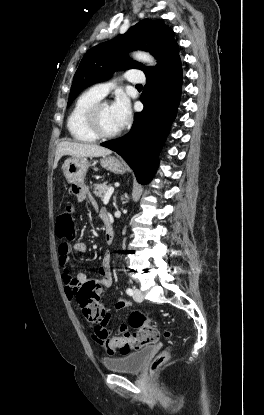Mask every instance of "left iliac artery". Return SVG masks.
<instances>
[{"mask_svg":"<svg viewBox=\"0 0 264 415\" xmlns=\"http://www.w3.org/2000/svg\"><path fill=\"white\" fill-rule=\"evenodd\" d=\"M126 293H127L129 296H132V295H133V290H132L131 288H127V289H126Z\"/></svg>","mask_w":264,"mask_h":415,"instance_id":"obj_1","label":"left iliac artery"}]
</instances>
